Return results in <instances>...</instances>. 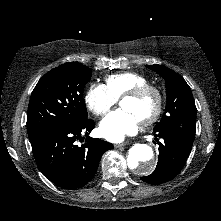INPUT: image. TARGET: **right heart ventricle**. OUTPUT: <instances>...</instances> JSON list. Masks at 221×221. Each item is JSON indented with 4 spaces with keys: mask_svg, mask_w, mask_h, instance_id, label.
Instances as JSON below:
<instances>
[{
    "mask_svg": "<svg viewBox=\"0 0 221 221\" xmlns=\"http://www.w3.org/2000/svg\"><path fill=\"white\" fill-rule=\"evenodd\" d=\"M146 84H149L148 78L136 72H121L105 78V87L117 100L126 92Z\"/></svg>",
    "mask_w": 221,
    "mask_h": 221,
    "instance_id": "e07e8e85",
    "label": "right heart ventricle"
}]
</instances>
